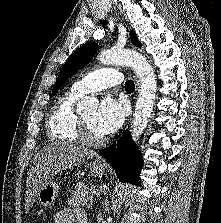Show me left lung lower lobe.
I'll use <instances>...</instances> for the list:
<instances>
[{
	"mask_svg": "<svg viewBox=\"0 0 221 223\" xmlns=\"http://www.w3.org/2000/svg\"><path fill=\"white\" fill-rule=\"evenodd\" d=\"M99 154L111 164L120 181L140 185L138 176L143 164L142 156L129 131H126L117 143L100 150Z\"/></svg>",
	"mask_w": 221,
	"mask_h": 223,
	"instance_id": "0a47b994",
	"label": "left lung lower lobe"
}]
</instances>
